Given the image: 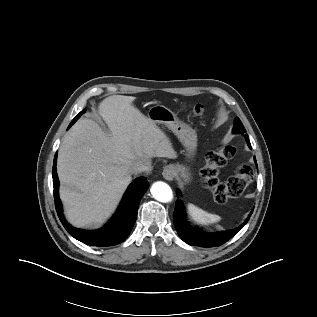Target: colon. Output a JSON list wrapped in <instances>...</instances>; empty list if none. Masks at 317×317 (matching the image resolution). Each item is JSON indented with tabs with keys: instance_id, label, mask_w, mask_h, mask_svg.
Listing matches in <instances>:
<instances>
[{
	"instance_id": "1",
	"label": "colon",
	"mask_w": 317,
	"mask_h": 317,
	"mask_svg": "<svg viewBox=\"0 0 317 317\" xmlns=\"http://www.w3.org/2000/svg\"><path fill=\"white\" fill-rule=\"evenodd\" d=\"M202 105H195L192 109L194 115L203 114ZM236 149L232 145H222L216 150L210 152L206 157V163L201 170L203 183L208 188L214 200L217 202H225L229 198L239 197L243 194L247 185L253 179V171L248 165H241L236 170V174L226 182L219 180V171L226 163L233 158Z\"/></svg>"
}]
</instances>
